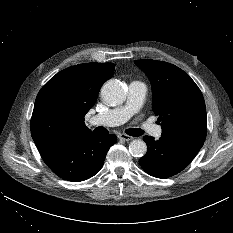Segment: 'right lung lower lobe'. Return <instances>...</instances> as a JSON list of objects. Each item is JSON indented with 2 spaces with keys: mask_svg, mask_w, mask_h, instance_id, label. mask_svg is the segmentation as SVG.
<instances>
[{
  "mask_svg": "<svg viewBox=\"0 0 233 233\" xmlns=\"http://www.w3.org/2000/svg\"><path fill=\"white\" fill-rule=\"evenodd\" d=\"M116 135L94 133L68 138L39 150L46 165L59 177L80 182L93 177L102 168Z\"/></svg>",
  "mask_w": 233,
  "mask_h": 233,
  "instance_id": "right-lung-lower-lobe-1",
  "label": "right lung lower lobe"
}]
</instances>
